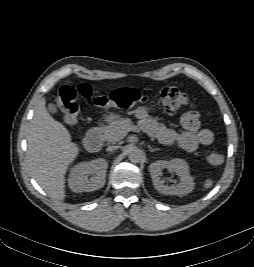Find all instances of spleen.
Returning <instances> with one entry per match:
<instances>
[{
	"mask_svg": "<svg viewBox=\"0 0 254 267\" xmlns=\"http://www.w3.org/2000/svg\"><path fill=\"white\" fill-rule=\"evenodd\" d=\"M212 185H213V181H212L211 179H207V180L204 182V188H205V189L210 188Z\"/></svg>",
	"mask_w": 254,
	"mask_h": 267,
	"instance_id": "obj_1",
	"label": "spleen"
}]
</instances>
